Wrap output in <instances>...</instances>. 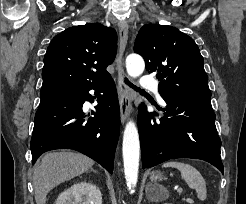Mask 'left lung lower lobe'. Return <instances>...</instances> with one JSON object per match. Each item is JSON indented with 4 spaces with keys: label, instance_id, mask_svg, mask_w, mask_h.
<instances>
[{
    "label": "left lung lower lobe",
    "instance_id": "1",
    "mask_svg": "<svg viewBox=\"0 0 246 204\" xmlns=\"http://www.w3.org/2000/svg\"><path fill=\"white\" fill-rule=\"evenodd\" d=\"M163 118L152 119L140 106L138 129L142 167L150 168L174 158L205 160L222 173L221 140L215 126L211 95L164 93ZM156 114V113H153Z\"/></svg>",
    "mask_w": 246,
    "mask_h": 204
}]
</instances>
